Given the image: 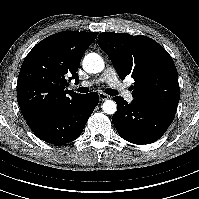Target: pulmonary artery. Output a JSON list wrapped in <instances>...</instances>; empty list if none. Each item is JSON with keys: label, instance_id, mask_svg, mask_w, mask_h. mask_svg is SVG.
<instances>
[{"label": "pulmonary artery", "instance_id": "e3ab8cb5", "mask_svg": "<svg viewBox=\"0 0 199 199\" xmlns=\"http://www.w3.org/2000/svg\"><path fill=\"white\" fill-rule=\"evenodd\" d=\"M106 83L111 86L118 94H121L128 102H132L134 97L128 91L126 85L121 82L117 72L113 67H108L96 80L81 83L83 87H90L93 84Z\"/></svg>", "mask_w": 199, "mask_h": 199}]
</instances>
